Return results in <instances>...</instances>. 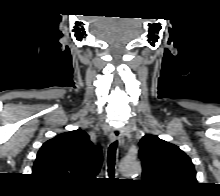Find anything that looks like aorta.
Segmentation results:
<instances>
[{
	"label": "aorta",
	"instance_id": "obj_1",
	"mask_svg": "<svg viewBox=\"0 0 220 196\" xmlns=\"http://www.w3.org/2000/svg\"><path fill=\"white\" fill-rule=\"evenodd\" d=\"M119 169L124 176H131L139 173L141 166L137 160L123 159L120 162Z\"/></svg>",
	"mask_w": 220,
	"mask_h": 196
}]
</instances>
